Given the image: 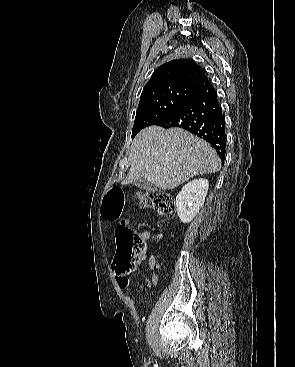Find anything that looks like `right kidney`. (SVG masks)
<instances>
[{
  "mask_svg": "<svg viewBox=\"0 0 295 367\" xmlns=\"http://www.w3.org/2000/svg\"><path fill=\"white\" fill-rule=\"evenodd\" d=\"M209 183L195 179L185 184L176 197L177 214L183 223L191 222L204 204Z\"/></svg>",
  "mask_w": 295,
  "mask_h": 367,
  "instance_id": "obj_1",
  "label": "right kidney"
}]
</instances>
